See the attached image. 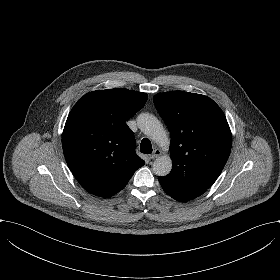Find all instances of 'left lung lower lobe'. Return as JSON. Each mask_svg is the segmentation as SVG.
<instances>
[{
	"instance_id": "left-lung-lower-lobe-1",
	"label": "left lung lower lobe",
	"mask_w": 280,
	"mask_h": 280,
	"mask_svg": "<svg viewBox=\"0 0 280 280\" xmlns=\"http://www.w3.org/2000/svg\"><path fill=\"white\" fill-rule=\"evenodd\" d=\"M161 186L168 195H170L172 198H174L177 201L186 202V201H189L191 199H194V198H185V197H181V196H178V195H172V194H170V188L169 187L164 186L163 184H161Z\"/></svg>"
}]
</instances>
